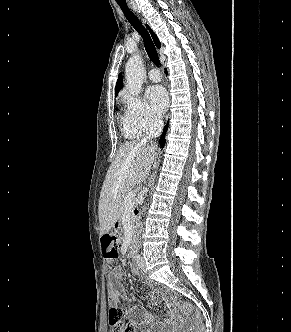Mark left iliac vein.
<instances>
[{"instance_id":"4c4485c4","label":"left iliac vein","mask_w":291,"mask_h":332,"mask_svg":"<svg viewBox=\"0 0 291 332\" xmlns=\"http://www.w3.org/2000/svg\"><path fill=\"white\" fill-rule=\"evenodd\" d=\"M137 265L142 270H144L146 268V263H145V260L143 258L138 259Z\"/></svg>"}]
</instances>
